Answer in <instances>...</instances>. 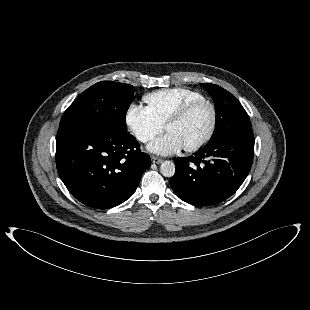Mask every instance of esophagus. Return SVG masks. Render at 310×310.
<instances>
[{"mask_svg":"<svg viewBox=\"0 0 310 310\" xmlns=\"http://www.w3.org/2000/svg\"><path fill=\"white\" fill-rule=\"evenodd\" d=\"M151 160H152V162L155 163V164H160V163H162V159H160V158H158V157H155V156H152V157H151Z\"/></svg>","mask_w":310,"mask_h":310,"instance_id":"esophagus-1","label":"esophagus"}]
</instances>
